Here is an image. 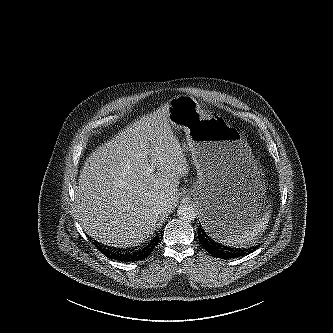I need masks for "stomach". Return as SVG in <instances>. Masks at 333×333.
Here are the masks:
<instances>
[{"label": "stomach", "instance_id": "stomach-1", "mask_svg": "<svg viewBox=\"0 0 333 333\" xmlns=\"http://www.w3.org/2000/svg\"><path fill=\"white\" fill-rule=\"evenodd\" d=\"M169 122L183 129L197 170L190 190L209 233L220 242L254 228L269 211L259 162L241 132L206 114L191 96H176Z\"/></svg>", "mask_w": 333, "mask_h": 333}]
</instances>
